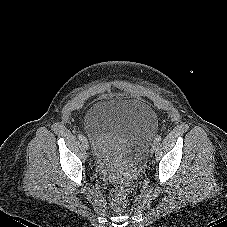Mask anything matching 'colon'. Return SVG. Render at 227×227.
<instances>
[{"instance_id": "colon-1", "label": "colon", "mask_w": 227, "mask_h": 227, "mask_svg": "<svg viewBox=\"0 0 227 227\" xmlns=\"http://www.w3.org/2000/svg\"><path fill=\"white\" fill-rule=\"evenodd\" d=\"M130 187V183L120 180L116 182L111 192V205L116 211H122L127 204V193Z\"/></svg>"}]
</instances>
